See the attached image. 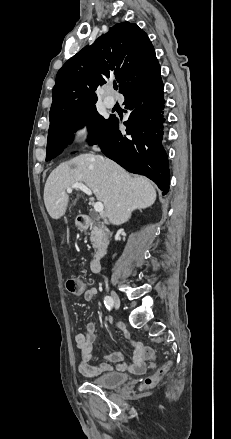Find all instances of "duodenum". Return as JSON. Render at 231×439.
<instances>
[{
	"label": "duodenum",
	"mask_w": 231,
	"mask_h": 439,
	"mask_svg": "<svg viewBox=\"0 0 231 439\" xmlns=\"http://www.w3.org/2000/svg\"><path fill=\"white\" fill-rule=\"evenodd\" d=\"M78 224L81 228H90V227H97L102 229L103 226L94 220L89 215H80L78 217ZM107 252V245H103L100 248L97 249L95 254L93 255L91 262H90V268L93 272H99L101 270V260L105 256Z\"/></svg>",
	"instance_id": "obj_1"
}]
</instances>
